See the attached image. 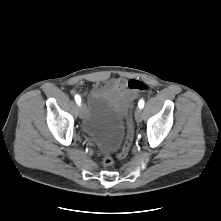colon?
Wrapping results in <instances>:
<instances>
[{
	"instance_id": "obj_1",
	"label": "colon",
	"mask_w": 221,
	"mask_h": 221,
	"mask_svg": "<svg viewBox=\"0 0 221 221\" xmlns=\"http://www.w3.org/2000/svg\"><path fill=\"white\" fill-rule=\"evenodd\" d=\"M128 88L132 90L133 92H142L147 89V84L143 80H140V79H131L128 81ZM78 91L81 95H84L86 92L85 86H80L78 88ZM131 142H132V130L129 129L124 145L121 151L117 154V158L123 159L128 155L130 147H131ZM102 163L105 166H111L114 164V159L112 156L106 154L103 157Z\"/></svg>"
}]
</instances>
